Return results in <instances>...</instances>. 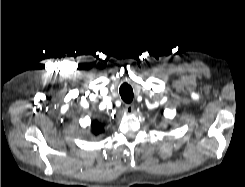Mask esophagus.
<instances>
[{
	"instance_id": "1",
	"label": "esophagus",
	"mask_w": 245,
	"mask_h": 187,
	"mask_svg": "<svg viewBox=\"0 0 245 187\" xmlns=\"http://www.w3.org/2000/svg\"><path fill=\"white\" fill-rule=\"evenodd\" d=\"M125 111L127 113H132L134 111V105L133 104H126L125 105Z\"/></svg>"
}]
</instances>
